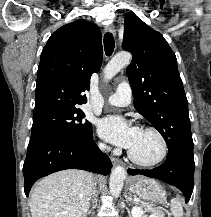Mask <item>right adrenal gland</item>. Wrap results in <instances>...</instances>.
Wrapping results in <instances>:
<instances>
[{"instance_id":"1","label":"right adrenal gland","mask_w":211,"mask_h":217,"mask_svg":"<svg viewBox=\"0 0 211 217\" xmlns=\"http://www.w3.org/2000/svg\"><path fill=\"white\" fill-rule=\"evenodd\" d=\"M96 192H97L96 187H94V196H96ZM94 196H93V198H94ZM92 203H94V199L92 200Z\"/></svg>"}]
</instances>
